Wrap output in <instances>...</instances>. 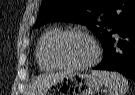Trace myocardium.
I'll list each match as a JSON object with an SVG mask.
<instances>
[{
    "mask_svg": "<svg viewBox=\"0 0 135 95\" xmlns=\"http://www.w3.org/2000/svg\"><path fill=\"white\" fill-rule=\"evenodd\" d=\"M70 35L82 36V37L87 38L91 42V44L93 45V48H94V55L90 61H88L84 64H80V65H70V64H66V63L62 62L57 57V55H56L57 45L63 38L70 36ZM47 53H48V57H49L50 61L54 65H56L58 68L77 71V70H84V69H87V68L93 66L99 59L100 48H99V45L96 42V40L87 32L79 30V29H68V30L60 31L51 39V41L48 45Z\"/></svg>",
    "mask_w": 135,
    "mask_h": 95,
    "instance_id": "myocardium-1",
    "label": "myocardium"
}]
</instances>
